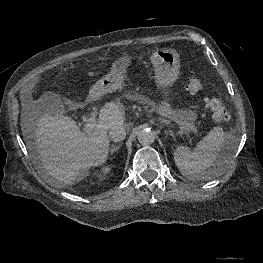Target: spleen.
Segmentation results:
<instances>
[{
	"label": "spleen",
	"mask_w": 263,
	"mask_h": 263,
	"mask_svg": "<svg viewBox=\"0 0 263 263\" xmlns=\"http://www.w3.org/2000/svg\"><path fill=\"white\" fill-rule=\"evenodd\" d=\"M237 138L226 135L219 126L214 127L194 150L178 146L173 153L174 161L181 174L189 179H209L223 173L230 165L237 147ZM225 151L220 154L221 150ZM214 169L208 173V170Z\"/></svg>",
	"instance_id": "1"
}]
</instances>
